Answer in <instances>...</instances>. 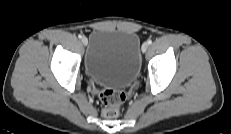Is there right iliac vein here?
<instances>
[{"instance_id": "1", "label": "right iliac vein", "mask_w": 231, "mask_h": 134, "mask_svg": "<svg viewBox=\"0 0 231 134\" xmlns=\"http://www.w3.org/2000/svg\"><path fill=\"white\" fill-rule=\"evenodd\" d=\"M81 41H82V43H83L85 46H86L87 43H88V40H87L86 37H82Z\"/></svg>"}]
</instances>
